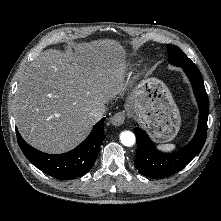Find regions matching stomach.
Instances as JSON below:
<instances>
[{
  "label": "stomach",
  "mask_w": 221,
  "mask_h": 221,
  "mask_svg": "<svg viewBox=\"0 0 221 221\" xmlns=\"http://www.w3.org/2000/svg\"><path fill=\"white\" fill-rule=\"evenodd\" d=\"M134 113L157 143L172 141L179 132L181 116L170 90L159 79L147 77L136 87Z\"/></svg>",
  "instance_id": "0dacf381"
}]
</instances>
